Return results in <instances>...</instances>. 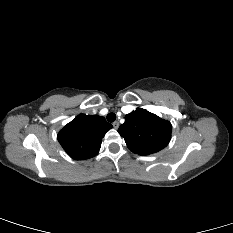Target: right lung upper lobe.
I'll return each instance as SVG.
<instances>
[{"mask_svg":"<svg viewBox=\"0 0 233 233\" xmlns=\"http://www.w3.org/2000/svg\"><path fill=\"white\" fill-rule=\"evenodd\" d=\"M111 128L104 117L79 114L58 133L57 138L71 158L89 159L98 154L102 138Z\"/></svg>","mask_w":233,"mask_h":233,"instance_id":"1","label":"right lung upper lobe"}]
</instances>
